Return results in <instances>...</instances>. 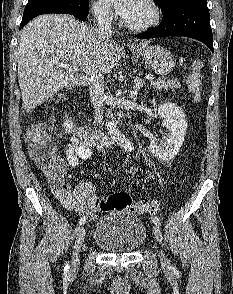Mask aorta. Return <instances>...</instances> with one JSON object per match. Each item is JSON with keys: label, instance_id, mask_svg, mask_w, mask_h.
Segmentation results:
<instances>
[{"label": "aorta", "instance_id": "aorta-1", "mask_svg": "<svg viewBox=\"0 0 233 294\" xmlns=\"http://www.w3.org/2000/svg\"><path fill=\"white\" fill-rule=\"evenodd\" d=\"M106 127L108 134L118 145H120L126 152H132L133 145L130 140L117 128V121L113 113L110 115L106 123Z\"/></svg>", "mask_w": 233, "mask_h": 294}]
</instances>
